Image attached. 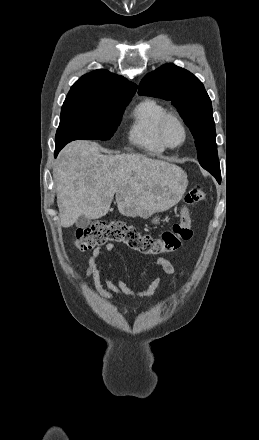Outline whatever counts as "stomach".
<instances>
[{"label":"stomach","instance_id":"1","mask_svg":"<svg viewBox=\"0 0 259 440\" xmlns=\"http://www.w3.org/2000/svg\"><path fill=\"white\" fill-rule=\"evenodd\" d=\"M182 185H183L184 187H186V185H187V180H186V178H184V179L182 180ZM151 223L154 224V225H158V224L160 223V218H159L158 216L153 217V218L151 219Z\"/></svg>","mask_w":259,"mask_h":440}]
</instances>
